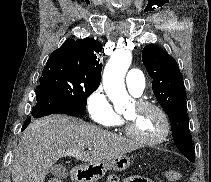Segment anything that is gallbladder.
Segmentation results:
<instances>
[{
  "mask_svg": "<svg viewBox=\"0 0 211 182\" xmlns=\"http://www.w3.org/2000/svg\"><path fill=\"white\" fill-rule=\"evenodd\" d=\"M50 171L54 176L59 177V178H64L67 175V170L62 165H56L55 164V165L52 166Z\"/></svg>",
  "mask_w": 211,
  "mask_h": 182,
  "instance_id": "obj_1",
  "label": "gallbladder"
}]
</instances>
